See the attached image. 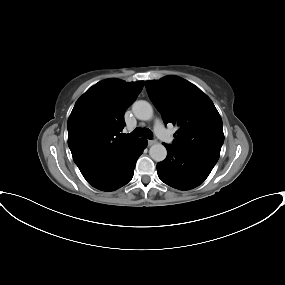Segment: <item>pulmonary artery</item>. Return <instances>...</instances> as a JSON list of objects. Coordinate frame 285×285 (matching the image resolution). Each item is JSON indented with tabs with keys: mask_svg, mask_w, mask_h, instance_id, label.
Returning <instances> with one entry per match:
<instances>
[{
	"mask_svg": "<svg viewBox=\"0 0 285 285\" xmlns=\"http://www.w3.org/2000/svg\"><path fill=\"white\" fill-rule=\"evenodd\" d=\"M155 133L159 138H161L165 143L171 145L174 143V138L169 133V131L164 127V125L157 121L155 124Z\"/></svg>",
	"mask_w": 285,
	"mask_h": 285,
	"instance_id": "e3ab8cb5",
	"label": "pulmonary artery"
}]
</instances>
